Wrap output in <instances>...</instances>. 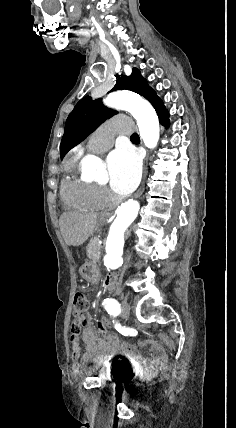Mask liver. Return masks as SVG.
Wrapping results in <instances>:
<instances>
[{"instance_id": "liver-1", "label": "liver", "mask_w": 236, "mask_h": 428, "mask_svg": "<svg viewBox=\"0 0 236 428\" xmlns=\"http://www.w3.org/2000/svg\"><path fill=\"white\" fill-rule=\"evenodd\" d=\"M98 220V214H62L59 220L60 232L67 246H81L91 236Z\"/></svg>"}]
</instances>
